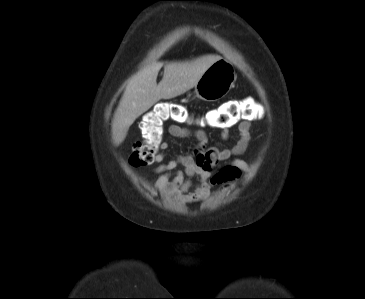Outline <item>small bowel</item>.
<instances>
[{
	"label": "small bowel",
	"instance_id": "small-bowel-1",
	"mask_svg": "<svg viewBox=\"0 0 365 299\" xmlns=\"http://www.w3.org/2000/svg\"><path fill=\"white\" fill-rule=\"evenodd\" d=\"M254 117L242 120L238 124L240 139L229 148H219L210 144L203 131H190L182 126L172 124L168 127V134L175 138L193 137L196 146L188 155H179L168 162L161 163L165 156L158 154L153 172L159 174L155 188L166 197L187 204L205 198L210 187L223 184L239 178L242 171L249 169V164L243 160H234L227 167L214 171L219 162L229 160L243 154L251 140L252 120ZM220 138H229V127L221 128ZM168 143L163 141L161 149L165 150ZM192 179H196L194 184Z\"/></svg>",
	"mask_w": 365,
	"mask_h": 299
}]
</instances>
